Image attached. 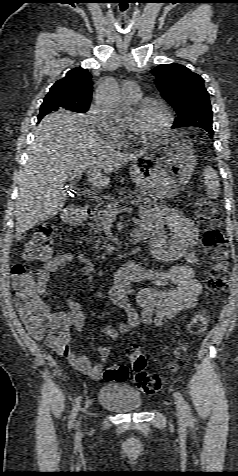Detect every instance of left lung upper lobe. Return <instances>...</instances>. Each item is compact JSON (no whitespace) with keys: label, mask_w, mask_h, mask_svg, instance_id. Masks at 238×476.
Returning a JSON list of instances; mask_svg holds the SVG:
<instances>
[{"label":"left lung upper lobe","mask_w":238,"mask_h":476,"mask_svg":"<svg viewBox=\"0 0 238 476\" xmlns=\"http://www.w3.org/2000/svg\"><path fill=\"white\" fill-rule=\"evenodd\" d=\"M161 96L178 117L172 128H212V109L203 78L181 64H161L151 70Z\"/></svg>","instance_id":"1"}]
</instances>
